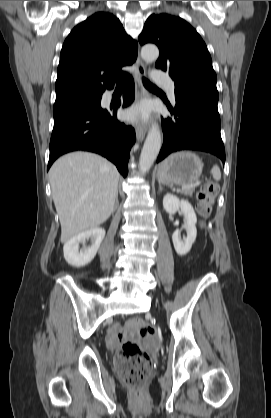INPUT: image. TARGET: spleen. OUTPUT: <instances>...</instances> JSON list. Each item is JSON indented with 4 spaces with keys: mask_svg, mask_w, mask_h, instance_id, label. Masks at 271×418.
Wrapping results in <instances>:
<instances>
[{
    "mask_svg": "<svg viewBox=\"0 0 271 418\" xmlns=\"http://www.w3.org/2000/svg\"><path fill=\"white\" fill-rule=\"evenodd\" d=\"M211 174L214 180L219 181L221 179V171L218 166H213V168L211 169Z\"/></svg>",
    "mask_w": 271,
    "mask_h": 418,
    "instance_id": "spleen-1",
    "label": "spleen"
}]
</instances>
